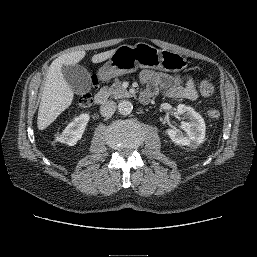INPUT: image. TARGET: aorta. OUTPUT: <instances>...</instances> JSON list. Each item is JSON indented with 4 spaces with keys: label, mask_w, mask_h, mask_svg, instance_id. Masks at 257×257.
<instances>
[{
    "label": "aorta",
    "mask_w": 257,
    "mask_h": 257,
    "mask_svg": "<svg viewBox=\"0 0 257 257\" xmlns=\"http://www.w3.org/2000/svg\"><path fill=\"white\" fill-rule=\"evenodd\" d=\"M133 109V105L130 101L128 100H122L118 104V111L122 115H128L131 113Z\"/></svg>",
    "instance_id": "762f6f07"
}]
</instances>
